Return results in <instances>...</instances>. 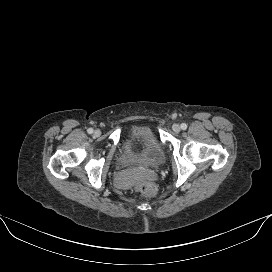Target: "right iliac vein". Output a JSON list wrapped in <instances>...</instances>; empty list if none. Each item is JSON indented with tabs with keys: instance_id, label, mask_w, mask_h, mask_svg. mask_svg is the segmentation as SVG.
Here are the masks:
<instances>
[{
	"instance_id": "1",
	"label": "right iliac vein",
	"mask_w": 272,
	"mask_h": 272,
	"mask_svg": "<svg viewBox=\"0 0 272 272\" xmlns=\"http://www.w3.org/2000/svg\"><path fill=\"white\" fill-rule=\"evenodd\" d=\"M94 135H95L96 137L100 136V135H101V131H100L99 129L95 130V131H94Z\"/></svg>"
}]
</instances>
